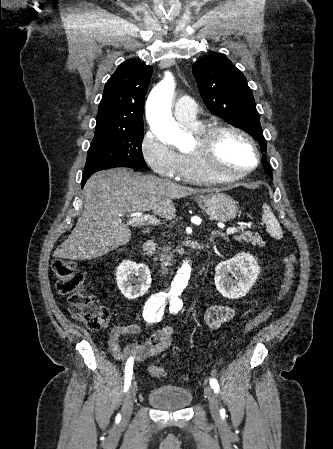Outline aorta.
Segmentation results:
<instances>
[{"instance_id": "762f6f07", "label": "aorta", "mask_w": 333, "mask_h": 449, "mask_svg": "<svg viewBox=\"0 0 333 449\" xmlns=\"http://www.w3.org/2000/svg\"><path fill=\"white\" fill-rule=\"evenodd\" d=\"M175 90L173 76L167 72L164 79L152 90L146 104V118L154 135L161 141L173 143L177 147L187 146L189 136L174 121L171 112L172 99ZM191 265L184 260L178 270L171 291L174 295L181 294L190 278Z\"/></svg>"}]
</instances>
